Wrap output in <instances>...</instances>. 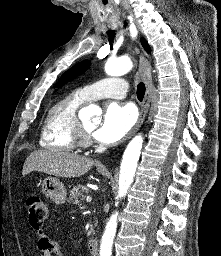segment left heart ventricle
<instances>
[{
  "mask_svg": "<svg viewBox=\"0 0 221 256\" xmlns=\"http://www.w3.org/2000/svg\"><path fill=\"white\" fill-rule=\"evenodd\" d=\"M83 125L88 131H92L95 127L93 123H84Z\"/></svg>",
  "mask_w": 221,
  "mask_h": 256,
  "instance_id": "obj_1",
  "label": "left heart ventricle"
}]
</instances>
